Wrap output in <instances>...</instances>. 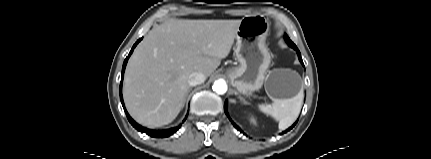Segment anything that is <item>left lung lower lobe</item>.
<instances>
[{"label": "left lung lower lobe", "instance_id": "0a47b994", "mask_svg": "<svg viewBox=\"0 0 431 159\" xmlns=\"http://www.w3.org/2000/svg\"><path fill=\"white\" fill-rule=\"evenodd\" d=\"M288 39V38H287ZM285 40H286V36H285ZM286 42H287V40H286ZM292 48H294L296 51H297V53H298V57H299V60H300V62L302 63V65H304L303 64V61H302V58H301V54H300V52H299V50H298V48L295 46V44L294 43H289V42H287ZM224 110H225V113H226V115L228 116V118L230 119V117H229V115H228V112H227V101H225V104H224ZM230 121H231V119H230ZM297 122V121H296ZM296 122L289 128V129H287L286 131H284L283 133H286L287 131H289L290 129H292L295 125H296ZM232 124L236 127V129L237 130H239V131H241L240 130V128L234 123V122H232ZM242 132V131H241Z\"/></svg>", "mask_w": 431, "mask_h": 159}]
</instances>
